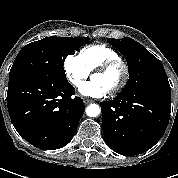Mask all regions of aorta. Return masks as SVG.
<instances>
[{"instance_id": "aorta-1", "label": "aorta", "mask_w": 178, "mask_h": 178, "mask_svg": "<svg viewBox=\"0 0 178 178\" xmlns=\"http://www.w3.org/2000/svg\"><path fill=\"white\" fill-rule=\"evenodd\" d=\"M101 112L99 105L97 104H90L86 107V114L89 117H97Z\"/></svg>"}]
</instances>
